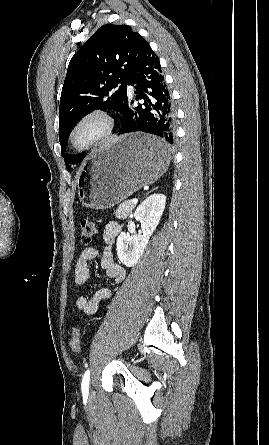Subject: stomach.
Segmentation results:
<instances>
[{"instance_id":"stomach-1","label":"stomach","mask_w":269,"mask_h":445,"mask_svg":"<svg viewBox=\"0 0 269 445\" xmlns=\"http://www.w3.org/2000/svg\"><path fill=\"white\" fill-rule=\"evenodd\" d=\"M156 141L142 133L126 134L94 152L77 179L82 205L96 210L111 208L160 178L171 154L146 153L145 145Z\"/></svg>"}]
</instances>
